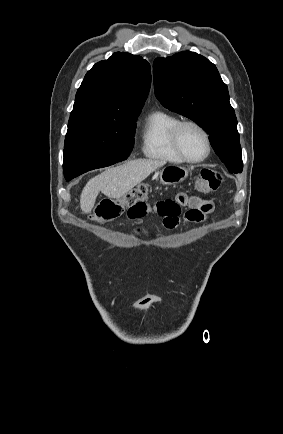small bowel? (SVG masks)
<instances>
[{
	"instance_id": "obj_1",
	"label": "small bowel",
	"mask_w": 283,
	"mask_h": 434,
	"mask_svg": "<svg viewBox=\"0 0 283 434\" xmlns=\"http://www.w3.org/2000/svg\"><path fill=\"white\" fill-rule=\"evenodd\" d=\"M186 208L184 219L191 222L202 221L205 215L213 210L210 200L190 196L181 192L174 199H162L149 204L141 201L128 209L127 215L131 220L141 219L148 214H157L163 218L166 228L174 229L180 223L181 210Z\"/></svg>"
}]
</instances>
